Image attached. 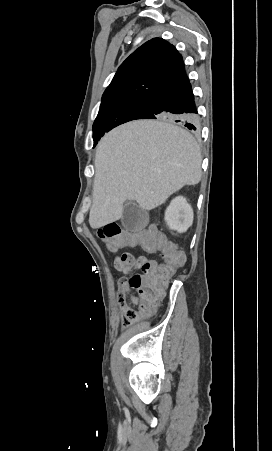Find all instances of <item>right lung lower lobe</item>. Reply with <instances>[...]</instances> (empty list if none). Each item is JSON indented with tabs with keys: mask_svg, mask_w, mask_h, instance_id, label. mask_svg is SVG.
<instances>
[{
	"mask_svg": "<svg viewBox=\"0 0 272 451\" xmlns=\"http://www.w3.org/2000/svg\"><path fill=\"white\" fill-rule=\"evenodd\" d=\"M197 114L192 87L183 69L153 93L147 109L136 119L174 120L196 130Z\"/></svg>",
	"mask_w": 272,
	"mask_h": 451,
	"instance_id": "right-lung-lower-lobe-1",
	"label": "right lung lower lobe"
}]
</instances>
